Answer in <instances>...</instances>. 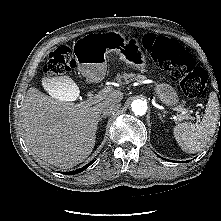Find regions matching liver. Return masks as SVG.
Instances as JSON below:
<instances>
[{
	"mask_svg": "<svg viewBox=\"0 0 221 221\" xmlns=\"http://www.w3.org/2000/svg\"><path fill=\"white\" fill-rule=\"evenodd\" d=\"M67 80L69 90L79 91L70 78ZM42 84L53 91L49 79L43 78ZM122 99L123 93L114 90L93 106L86 101L75 104L31 87L20 115L25 142L43 161L62 169L72 168L91 154L104 104Z\"/></svg>",
	"mask_w": 221,
	"mask_h": 221,
	"instance_id": "obj_1",
	"label": "liver"
}]
</instances>
